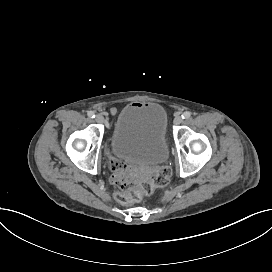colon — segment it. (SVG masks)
Instances as JSON below:
<instances>
[{"label":"colon","instance_id":"5ec220e1","mask_svg":"<svg viewBox=\"0 0 272 272\" xmlns=\"http://www.w3.org/2000/svg\"><path fill=\"white\" fill-rule=\"evenodd\" d=\"M111 176L118 190L115 192V201L119 205H128L136 201L140 196H149L153 188L164 186L171 175L167 167L155 169L151 176H141L128 172V167L123 161L115 160L110 163Z\"/></svg>","mask_w":272,"mask_h":272}]
</instances>
